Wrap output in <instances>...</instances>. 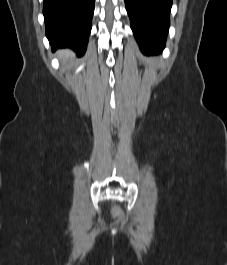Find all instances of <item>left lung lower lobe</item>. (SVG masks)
<instances>
[{
    "instance_id": "0a47b994",
    "label": "left lung lower lobe",
    "mask_w": 227,
    "mask_h": 265,
    "mask_svg": "<svg viewBox=\"0 0 227 265\" xmlns=\"http://www.w3.org/2000/svg\"><path fill=\"white\" fill-rule=\"evenodd\" d=\"M131 29L145 54L162 52L169 28L172 0H124Z\"/></svg>"
}]
</instances>
